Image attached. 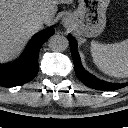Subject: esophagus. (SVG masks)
Returning <instances> with one entry per match:
<instances>
[{
	"mask_svg": "<svg viewBox=\"0 0 128 128\" xmlns=\"http://www.w3.org/2000/svg\"><path fill=\"white\" fill-rule=\"evenodd\" d=\"M62 24H63L65 27L70 26V20H69V18H63Z\"/></svg>",
	"mask_w": 128,
	"mask_h": 128,
	"instance_id": "1",
	"label": "esophagus"
}]
</instances>
